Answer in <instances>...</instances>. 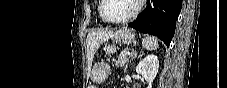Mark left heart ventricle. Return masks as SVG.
I'll use <instances>...</instances> for the list:
<instances>
[{
	"label": "left heart ventricle",
	"instance_id": "left-heart-ventricle-1",
	"mask_svg": "<svg viewBox=\"0 0 227 88\" xmlns=\"http://www.w3.org/2000/svg\"><path fill=\"white\" fill-rule=\"evenodd\" d=\"M135 7V0H107L103 8V14L110 20L121 19L133 12Z\"/></svg>",
	"mask_w": 227,
	"mask_h": 88
}]
</instances>
